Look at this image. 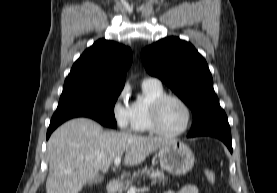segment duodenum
<instances>
[{"label": "duodenum", "mask_w": 277, "mask_h": 193, "mask_svg": "<svg viewBox=\"0 0 277 193\" xmlns=\"http://www.w3.org/2000/svg\"><path fill=\"white\" fill-rule=\"evenodd\" d=\"M119 182L117 180H111L107 185L108 193H117L119 190Z\"/></svg>", "instance_id": "410a0bca"}]
</instances>
